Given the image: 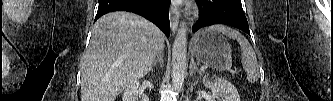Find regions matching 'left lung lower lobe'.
I'll use <instances>...</instances> for the list:
<instances>
[{"label": "left lung lower lobe", "instance_id": "obj_1", "mask_svg": "<svg viewBox=\"0 0 333 101\" xmlns=\"http://www.w3.org/2000/svg\"><path fill=\"white\" fill-rule=\"evenodd\" d=\"M200 20L193 26V32L214 24H226L250 34L241 0H197Z\"/></svg>", "mask_w": 333, "mask_h": 101}]
</instances>
